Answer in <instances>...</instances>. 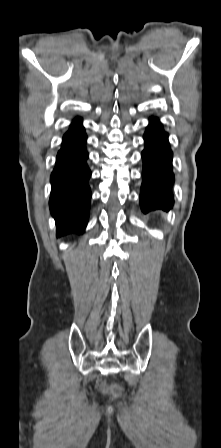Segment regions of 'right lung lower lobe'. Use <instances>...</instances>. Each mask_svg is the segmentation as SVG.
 <instances>
[{
  "instance_id": "right-lung-lower-lobe-1",
  "label": "right lung lower lobe",
  "mask_w": 221,
  "mask_h": 448,
  "mask_svg": "<svg viewBox=\"0 0 221 448\" xmlns=\"http://www.w3.org/2000/svg\"><path fill=\"white\" fill-rule=\"evenodd\" d=\"M86 134L82 120L76 118L63 137L51 175L50 210L57 236L83 233L88 221L91 191L88 180Z\"/></svg>"
}]
</instances>
